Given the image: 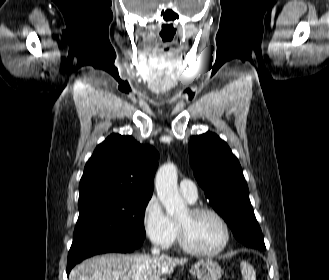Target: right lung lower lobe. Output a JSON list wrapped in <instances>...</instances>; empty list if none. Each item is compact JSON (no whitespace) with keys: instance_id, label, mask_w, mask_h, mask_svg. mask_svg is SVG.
Masks as SVG:
<instances>
[{"instance_id":"right-lung-lower-lobe-1","label":"right lung lower lobe","mask_w":329,"mask_h":280,"mask_svg":"<svg viewBox=\"0 0 329 280\" xmlns=\"http://www.w3.org/2000/svg\"><path fill=\"white\" fill-rule=\"evenodd\" d=\"M136 248L133 247H127L112 243H98L89 246L85 250H82L78 254L74 256V258L70 261H67V275H69L71 269L82 260L91 257L96 254H102L107 252H121V253H127V252H133Z\"/></svg>"}]
</instances>
